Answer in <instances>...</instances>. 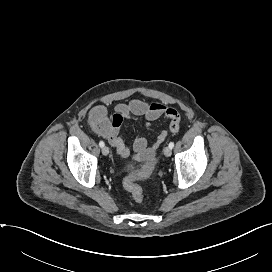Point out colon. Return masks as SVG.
Here are the masks:
<instances>
[{"mask_svg":"<svg viewBox=\"0 0 272 272\" xmlns=\"http://www.w3.org/2000/svg\"><path fill=\"white\" fill-rule=\"evenodd\" d=\"M93 124L98 128H104L107 125L120 126L122 123V117L115 113L110 118L107 116L105 109L101 106H97L92 109L90 114ZM152 166L150 164L144 165L137 173L127 176L123 180L124 188L130 193L135 202L141 203L143 201V190L138 185V180H144L151 174Z\"/></svg>","mask_w":272,"mask_h":272,"instance_id":"colon-1","label":"colon"}]
</instances>
